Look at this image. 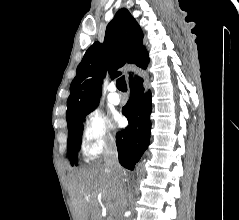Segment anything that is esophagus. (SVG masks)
Returning <instances> with one entry per match:
<instances>
[{
  "instance_id": "1",
  "label": "esophagus",
  "mask_w": 239,
  "mask_h": 220,
  "mask_svg": "<svg viewBox=\"0 0 239 220\" xmlns=\"http://www.w3.org/2000/svg\"><path fill=\"white\" fill-rule=\"evenodd\" d=\"M129 73L131 74V79H132V83L131 86L134 87L133 91L137 92L138 91V84H137V80H136V73L134 72L132 67L128 68Z\"/></svg>"
}]
</instances>
